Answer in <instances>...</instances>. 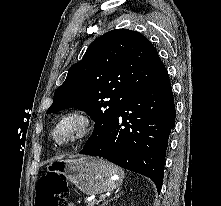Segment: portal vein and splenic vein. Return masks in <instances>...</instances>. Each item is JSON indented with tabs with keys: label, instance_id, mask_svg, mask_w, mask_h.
Segmentation results:
<instances>
[{
	"label": "portal vein and splenic vein",
	"instance_id": "18ae733b",
	"mask_svg": "<svg viewBox=\"0 0 221 206\" xmlns=\"http://www.w3.org/2000/svg\"><path fill=\"white\" fill-rule=\"evenodd\" d=\"M105 198H106L105 195H101V196H100V200H103V199H105Z\"/></svg>",
	"mask_w": 221,
	"mask_h": 206
}]
</instances>
